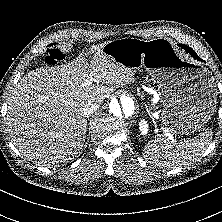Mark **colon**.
<instances>
[{
    "label": "colon",
    "instance_id": "obj_1",
    "mask_svg": "<svg viewBox=\"0 0 222 222\" xmlns=\"http://www.w3.org/2000/svg\"><path fill=\"white\" fill-rule=\"evenodd\" d=\"M64 59V55L56 49L49 48L46 51L45 62L49 65H54Z\"/></svg>",
    "mask_w": 222,
    "mask_h": 222
}]
</instances>
